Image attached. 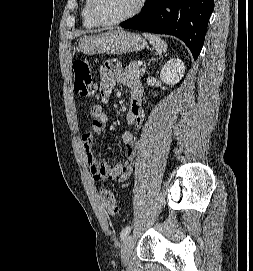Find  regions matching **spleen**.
<instances>
[{"label": "spleen", "instance_id": "3e777b00", "mask_svg": "<svg viewBox=\"0 0 253 271\" xmlns=\"http://www.w3.org/2000/svg\"><path fill=\"white\" fill-rule=\"evenodd\" d=\"M145 39L155 48L158 53L165 52L167 50V44L159 36L150 33H143Z\"/></svg>", "mask_w": 253, "mask_h": 271}]
</instances>
